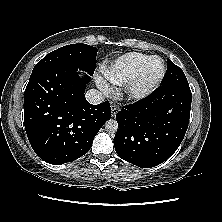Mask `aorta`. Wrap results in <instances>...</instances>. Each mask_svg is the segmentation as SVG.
Segmentation results:
<instances>
[{
    "label": "aorta",
    "mask_w": 222,
    "mask_h": 222,
    "mask_svg": "<svg viewBox=\"0 0 222 222\" xmlns=\"http://www.w3.org/2000/svg\"><path fill=\"white\" fill-rule=\"evenodd\" d=\"M105 130L111 134H114L118 130V123L114 119H110L105 123Z\"/></svg>",
    "instance_id": "aorta-1"
}]
</instances>
